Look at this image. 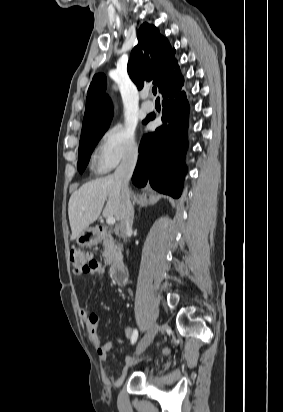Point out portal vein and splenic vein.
Masks as SVG:
<instances>
[{
    "instance_id": "1",
    "label": "portal vein and splenic vein",
    "mask_w": 283,
    "mask_h": 412,
    "mask_svg": "<svg viewBox=\"0 0 283 412\" xmlns=\"http://www.w3.org/2000/svg\"><path fill=\"white\" fill-rule=\"evenodd\" d=\"M115 222H116V219L114 217H107V219H106V223L108 225H114Z\"/></svg>"
}]
</instances>
